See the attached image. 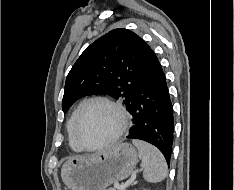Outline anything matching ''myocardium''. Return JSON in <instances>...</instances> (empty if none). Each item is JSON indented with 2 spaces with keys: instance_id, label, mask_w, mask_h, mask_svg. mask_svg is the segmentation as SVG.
I'll return each mask as SVG.
<instances>
[{
  "instance_id": "obj_1",
  "label": "myocardium",
  "mask_w": 234,
  "mask_h": 190,
  "mask_svg": "<svg viewBox=\"0 0 234 190\" xmlns=\"http://www.w3.org/2000/svg\"><path fill=\"white\" fill-rule=\"evenodd\" d=\"M104 104L107 105L108 107H110L111 109H113L115 111V113L118 116L119 119V126L117 131L114 133L113 136H111L108 140L95 145V146H87L85 144H83L77 135V131H78V127H79V123L81 121V118L83 116V114L85 113V111L93 104ZM128 127V116L127 113L125 111V109L122 107V105L119 102L114 101L111 98L105 97V96H96V97H92L88 100H86L80 107V109L77 112V115L75 117L74 120V124H73V128H72V137L73 140L75 141V143L79 146V148L81 150L84 151H96V150H100L103 149L105 147H108L109 145H111L112 143H114L115 141H117L126 131Z\"/></svg>"
}]
</instances>
